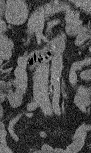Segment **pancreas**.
Masks as SVG:
<instances>
[{
  "mask_svg": "<svg viewBox=\"0 0 91 153\" xmlns=\"http://www.w3.org/2000/svg\"><path fill=\"white\" fill-rule=\"evenodd\" d=\"M58 10L66 11V21L70 25L72 29H76L81 25V21L79 20V16L74 14L67 6H56V5H45L43 7L38 8L34 14L31 15L28 21V29L31 34L39 33L44 25V19L47 14L54 13Z\"/></svg>",
  "mask_w": 91,
  "mask_h": 153,
  "instance_id": "obj_1",
  "label": "pancreas"
}]
</instances>
